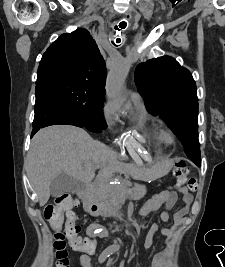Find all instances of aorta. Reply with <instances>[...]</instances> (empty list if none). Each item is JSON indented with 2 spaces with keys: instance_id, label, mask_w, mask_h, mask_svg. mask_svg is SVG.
<instances>
[{
  "instance_id": "1",
  "label": "aorta",
  "mask_w": 225,
  "mask_h": 267,
  "mask_svg": "<svg viewBox=\"0 0 225 267\" xmlns=\"http://www.w3.org/2000/svg\"><path fill=\"white\" fill-rule=\"evenodd\" d=\"M131 63L125 58L117 60L111 67L106 82V93L112 103L121 105V90ZM119 248V246H116Z\"/></svg>"
}]
</instances>
